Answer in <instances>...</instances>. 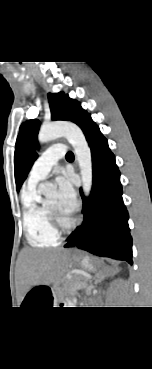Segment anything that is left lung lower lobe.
<instances>
[{
	"label": "left lung lower lobe",
	"instance_id": "1",
	"mask_svg": "<svg viewBox=\"0 0 152 369\" xmlns=\"http://www.w3.org/2000/svg\"><path fill=\"white\" fill-rule=\"evenodd\" d=\"M92 154L93 185L86 199L82 190L84 220L64 247L86 250L98 256L132 264V237L128 212L122 199L120 172L107 139L89 116L80 126Z\"/></svg>",
	"mask_w": 152,
	"mask_h": 369
}]
</instances>
